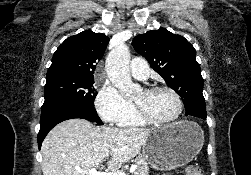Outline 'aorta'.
Returning a JSON list of instances; mask_svg holds the SVG:
<instances>
[{"mask_svg":"<svg viewBox=\"0 0 251 175\" xmlns=\"http://www.w3.org/2000/svg\"><path fill=\"white\" fill-rule=\"evenodd\" d=\"M130 54L126 44H118L106 60L105 68L107 76L115 86L120 89L125 95H131L134 89H139L138 84H133L129 72Z\"/></svg>","mask_w":251,"mask_h":175,"instance_id":"obj_1","label":"aorta"}]
</instances>
